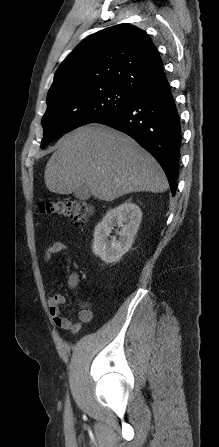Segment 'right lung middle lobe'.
Returning a JSON list of instances; mask_svg holds the SVG:
<instances>
[{"instance_id": "obj_1", "label": "right lung middle lobe", "mask_w": 219, "mask_h": 447, "mask_svg": "<svg viewBox=\"0 0 219 447\" xmlns=\"http://www.w3.org/2000/svg\"><path fill=\"white\" fill-rule=\"evenodd\" d=\"M135 98V95L113 85L83 90L61 89L48 94V107L42 118L44 137L41 148L61 134L94 123L128 105Z\"/></svg>"}]
</instances>
